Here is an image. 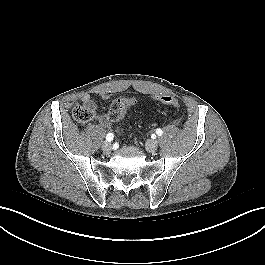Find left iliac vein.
Instances as JSON below:
<instances>
[{"label": "left iliac vein", "instance_id": "4c4485c4", "mask_svg": "<svg viewBox=\"0 0 265 265\" xmlns=\"http://www.w3.org/2000/svg\"><path fill=\"white\" fill-rule=\"evenodd\" d=\"M158 149V143L156 141H148L146 143V150L150 153L156 152Z\"/></svg>", "mask_w": 265, "mask_h": 265}]
</instances>
